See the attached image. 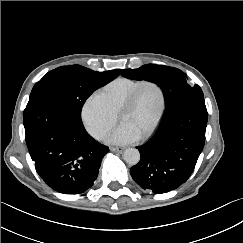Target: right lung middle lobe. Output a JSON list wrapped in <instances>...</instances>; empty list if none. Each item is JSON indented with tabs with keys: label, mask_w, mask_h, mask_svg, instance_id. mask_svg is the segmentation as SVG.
Wrapping results in <instances>:
<instances>
[{
	"label": "right lung middle lobe",
	"mask_w": 243,
	"mask_h": 243,
	"mask_svg": "<svg viewBox=\"0 0 243 243\" xmlns=\"http://www.w3.org/2000/svg\"><path fill=\"white\" fill-rule=\"evenodd\" d=\"M119 75V71L98 72L80 65L62 66L48 72L37 82L30 98L42 97L68 106L81 118L87 98Z\"/></svg>",
	"instance_id": "right-lung-middle-lobe-1"
}]
</instances>
